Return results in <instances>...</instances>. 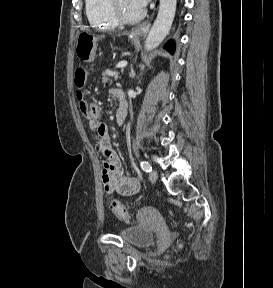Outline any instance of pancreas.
I'll return each instance as SVG.
<instances>
[{
    "label": "pancreas",
    "mask_w": 273,
    "mask_h": 288,
    "mask_svg": "<svg viewBox=\"0 0 273 288\" xmlns=\"http://www.w3.org/2000/svg\"><path fill=\"white\" fill-rule=\"evenodd\" d=\"M123 71V70H122ZM118 72L117 71H111L109 69H107L106 71H104L102 73V83L105 85L108 81L112 82V79L110 77H113L115 80L118 79Z\"/></svg>",
    "instance_id": "pancreas-1"
}]
</instances>
